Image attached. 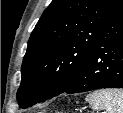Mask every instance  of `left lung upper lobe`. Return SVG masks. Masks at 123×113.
Segmentation results:
<instances>
[{
    "mask_svg": "<svg viewBox=\"0 0 123 113\" xmlns=\"http://www.w3.org/2000/svg\"><path fill=\"white\" fill-rule=\"evenodd\" d=\"M119 0H53L28 41L17 92L26 108L67 91L78 79L105 19Z\"/></svg>",
    "mask_w": 123,
    "mask_h": 113,
    "instance_id": "obj_1",
    "label": "left lung upper lobe"
}]
</instances>
